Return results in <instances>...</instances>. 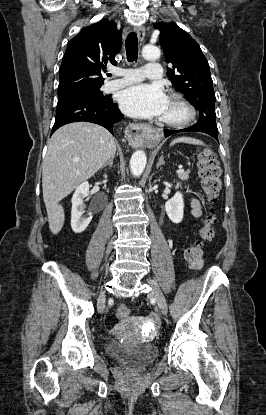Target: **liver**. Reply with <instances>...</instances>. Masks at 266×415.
Returning <instances> with one entry per match:
<instances>
[{
  "instance_id": "obj_1",
  "label": "liver",
  "mask_w": 266,
  "mask_h": 415,
  "mask_svg": "<svg viewBox=\"0 0 266 415\" xmlns=\"http://www.w3.org/2000/svg\"><path fill=\"white\" fill-rule=\"evenodd\" d=\"M115 153L114 137L93 123H70L52 135L43 161L42 188L53 234L60 232L65 220L59 202L92 177Z\"/></svg>"
}]
</instances>
